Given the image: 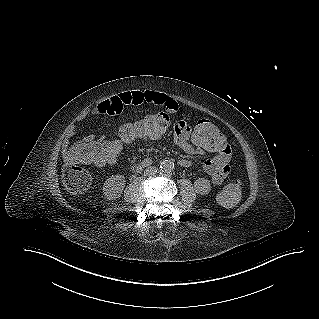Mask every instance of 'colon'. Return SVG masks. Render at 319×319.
Wrapping results in <instances>:
<instances>
[{
  "instance_id": "colon-1",
  "label": "colon",
  "mask_w": 319,
  "mask_h": 319,
  "mask_svg": "<svg viewBox=\"0 0 319 319\" xmlns=\"http://www.w3.org/2000/svg\"><path fill=\"white\" fill-rule=\"evenodd\" d=\"M171 121L168 114L153 112L124 125L114 137L76 143L65 151V158L69 162L62 172L65 189L72 195L84 193L90 185V175L82 167L83 164L94 163L100 166L116 164L125 154L168 135L171 131ZM188 136L200 149L209 153L220 151L222 149L220 143L226 142L224 131L207 119L194 121L191 134ZM241 194L242 182L237 179L227 183L218 193L217 199L222 206L233 207L239 202Z\"/></svg>"
}]
</instances>
